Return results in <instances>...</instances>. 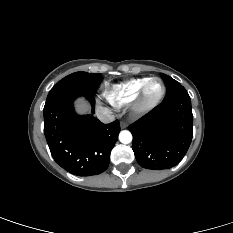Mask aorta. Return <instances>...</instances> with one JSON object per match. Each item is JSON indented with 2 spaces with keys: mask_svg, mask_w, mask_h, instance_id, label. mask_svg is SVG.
I'll use <instances>...</instances> for the list:
<instances>
[{
  "mask_svg": "<svg viewBox=\"0 0 233 233\" xmlns=\"http://www.w3.org/2000/svg\"><path fill=\"white\" fill-rule=\"evenodd\" d=\"M119 140L123 144H129L132 142V134L128 130H123L119 134Z\"/></svg>",
  "mask_w": 233,
  "mask_h": 233,
  "instance_id": "aorta-1",
  "label": "aorta"
}]
</instances>
